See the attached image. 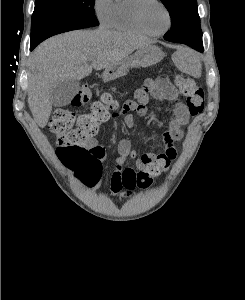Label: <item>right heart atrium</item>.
<instances>
[{
	"label": "right heart atrium",
	"mask_w": 245,
	"mask_h": 300,
	"mask_svg": "<svg viewBox=\"0 0 245 300\" xmlns=\"http://www.w3.org/2000/svg\"><path fill=\"white\" fill-rule=\"evenodd\" d=\"M113 9V0H93V11L103 26H107L110 23L111 14Z\"/></svg>",
	"instance_id": "obj_1"
}]
</instances>
